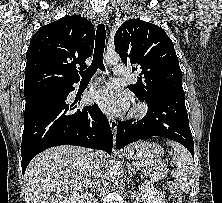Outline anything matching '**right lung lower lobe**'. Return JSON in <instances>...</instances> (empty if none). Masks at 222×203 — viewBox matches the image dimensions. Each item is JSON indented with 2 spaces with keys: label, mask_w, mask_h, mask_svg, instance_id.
Masks as SVG:
<instances>
[{
  "label": "right lung lower lobe",
  "mask_w": 222,
  "mask_h": 203,
  "mask_svg": "<svg viewBox=\"0 0 222 203\" xmlns=\"http://www.w3.org/2000/svg\"><path fill=\"white\" fill-rule=\"evenodd\" d=\"M74 83L25 97L21 145L23 174L38 153L53 146L76 145L111 153V127L97 104L76 109L74 103L66 102L67 96L74 90Z\"/></svg>",
  "instance_id": "1"
}]
</instances>
